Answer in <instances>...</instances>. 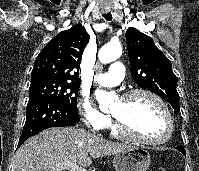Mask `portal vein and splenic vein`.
<instances>
[{"instance_id": "obj_1", "label": "portal vein and splenic vein", "mask_w": 199, "mask_h": 171, "mask_svg": "<svg viewBox=\"0 0 199 171\" xmlns=\"http://www.w3.org/2000/svg\"><path fill=\"white\" fill-rule=\"evenodd\" d=\"M61 168H65L69 171H87L85 168L78 166L75 162L62 164Z\"/></svg>"}]
</instances>
